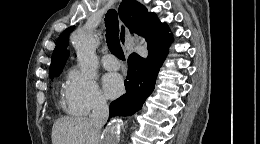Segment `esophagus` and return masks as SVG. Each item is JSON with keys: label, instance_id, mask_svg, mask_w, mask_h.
I'll use <instances>...</instances> for the list:
<instances>
[{"label": "esophagus", "instance_id": "esophagus-1", "mask_svg": "<svg viewBox=\"0 0 260 144\" xmlns=\"http://www.w3.org/2000/svg\"><path fill=\"white\" fill-rule=\"evenodd\" d=\"M126 36H127V28H126L125 24L122 21H120V23H119V39H120L122 45H125Z\"/></svg>", "mask_w": 260, "mask_h": 144}]
</instances>
